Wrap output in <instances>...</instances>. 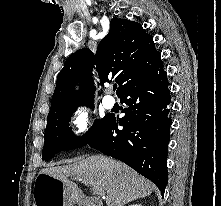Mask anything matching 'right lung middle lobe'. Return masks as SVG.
<instances>
[{
    "instance_id": "right-lung-middle-lobe-1",
    "label": "right lung middle lobe",
    "mask_w": 221,
    "mask_h": 206,
    "mask_svg": "<svg viewBox=\"0 0 221 206\" xmlns=\"http://www.w3.org/2000/svg\"><path fill=\"white\" fill-rule=\"evenodd\" d=\"M79 105H88L93 108L92 103H82L60 108L48 114L42 160H48L63 150L87 145L109 118V115H106L103 119L96 120L94 125L83 136L77 137L71 128H69V121L71 115Z\"/></svg>"
}]
</instances>
